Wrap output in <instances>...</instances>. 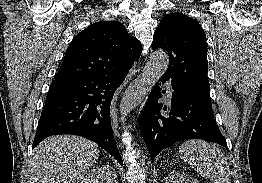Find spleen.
<instances>
[{
  "instance_id": "1",
  "label": "spleen",
  "mask_w": 262,
  "mask_h": 183,
  "mask_svg": "<svg viewBox=\"0 0 262 183\" xmlns=\"http://www.w3.org/2000/svg\"><path fill=\"white\" fill-rule=\"evenodd\" d=\"M181 160L200 176L214 183H231L228 162L219 148L202 140L185 141L179 148Z\"/></svg>"
}]
</instances>
